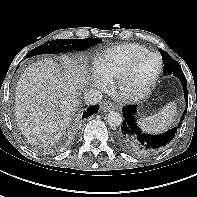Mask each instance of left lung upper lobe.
Returning <instances> with one entry per match:
<instances>
[{
	"mask_svg": "<svg viewBox=\"0 0 197 197\" xmlns=\"http://www.w3.org/2000/svg\"><path fill=\"white\" fill-rule=\"evenodd\" d=\"M164 63V75H174L180 80L186 79L180 65L164 50H160Z\"/></svg>",
	"mask_w": 197,
	"mask_h": 197,
	"instance_id": "5c2ea615",
	"label": "left lung upper lobe"
}]
</instances>
